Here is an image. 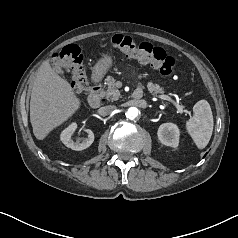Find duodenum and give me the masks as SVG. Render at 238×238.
<instances>
[{
    "label": "duodenum",
    "mask_w": 238,
    "mask_h": 238,
    "mask_svg": "<svg viewBox=\"0 0 238 238\" xmlns=\"http://www.w3.org/2000/svg\"><path fill=\"white\" fill-rule=\"evenodd\" d=\"M143 91L141 87H138L132 94L134 99H141ZM102 89L99 84L94 85L88 92L87 101L88 104L93 108H98L103 103Z\"/></svg>",
    "instance_id": "duodenum-1"
}]
</instances>
